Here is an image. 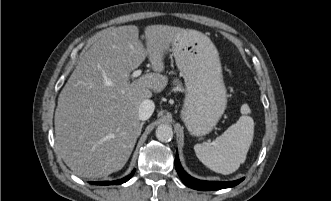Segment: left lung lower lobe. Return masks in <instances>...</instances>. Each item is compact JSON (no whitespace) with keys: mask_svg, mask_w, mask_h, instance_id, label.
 <instances>
[{"mask_svg":"<svg viewBox=\"0 0 331 201\" xmlns=\"http://www.w3.org/2000/svg\"><path fill=\"white\" fill-rule=\"evenodd\" d=\"M175 168L180 176L181 180L185 185H187L190 188L196 189V190H202V191H207V190H220L224 188H229L236 186L240 182L244 180V178L236 180V181H230V182H215V181H202L195 179L188 175L182 168L178 155L176 154L175 157Z\"/></svg>","mask_w":331,"mask_h":201,"instance_id":"0a47b994","label":"left lung lower lobe"}]
</instances>
